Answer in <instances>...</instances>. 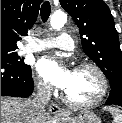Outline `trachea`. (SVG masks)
Wrapping results in <instances>:
<instances>
[{
  "label": "trachea",
  "mask_w": 122,
  "mask_h": 123,
  "mask_svg": "<svg viewBox=\"0 0 122 123\" xmlns=\"http://www.w3.org/2000/svg\"><path fill=\"white\" fill-rule=\"evenodd\" d=\"M41 19L43 22H46L50 16L51 13V6L48 1H45L41 6Z\"/></svg>",
  "instance_id": "1"
}]
</instances>
